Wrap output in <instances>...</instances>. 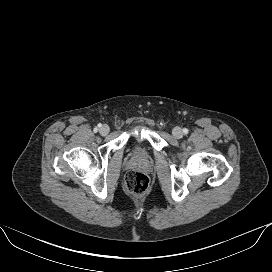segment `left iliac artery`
I'll list each match as a JSON object with an SVG mask.
<instances>
[{
  "label": "left iliac artery",
  "instance_id": "44dca946",
  "mask_svg": "<svg viewBox=\"0 0 272 272\" xmlns=\"http://www.w3.org/2000/svg\"><path fill=\"white\" fill-rule=\"evenodd\" d=\"M183 133H184V134H187V133H188V129L184 128V129H183Z\"/></svg>",
  "mask_w": 272,
  "mask_h": 272
}]
</instances>
